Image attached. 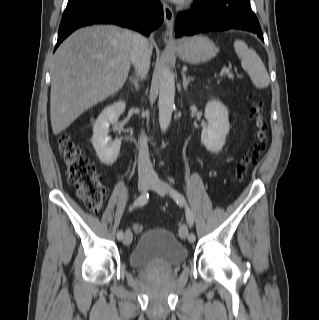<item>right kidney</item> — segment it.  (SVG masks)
Returning a JSON list of instances; mask_svg holds the SVG:
<instances>
[{"mask_svg": "<svg viewBox=\"0 0 319 320\" xmlns=\"http://www.w3.org/2000/svg\"><path fill=\"white\" fill-rule=\"evenodd\" d=\"M126 103L118 101L107 106L98 116L93 126L92 145L100 161L112 165L118 158L121 140L111 141L109 133L110 124L117 123L120 115L125 111Z\"/></svg>", "mask_w": 319, "mask_h": 320, "instance_id": "ca27d5eb", "label": "right kidney"}]
</instances>
